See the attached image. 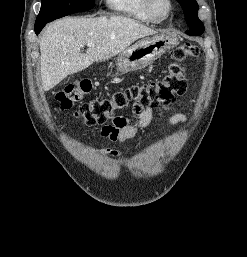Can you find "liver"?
I'll return each mask as SVG.
<instances>
[{
  "label": "liver",
  "instance_id": "6515ba94",
  "mask_svg": "<svg viewBox=\"0 0 247 257\" xmlns=\"http://www.w3.org/2000/svg\"><path fill=\"white\" fill-rule=\"evenodd\" d=\"M156 32L122 16L68 17L50 24L40 40L41 78L49 91L65 77L108 60L125 51L136 40ZM86 53L80 50L84 45Z\"/></svg>",
  "mask_w": 247,
  "mask_h": 257
}]
</instances>
